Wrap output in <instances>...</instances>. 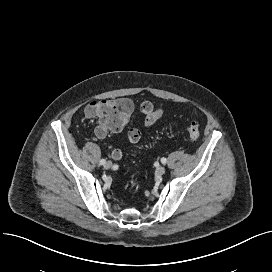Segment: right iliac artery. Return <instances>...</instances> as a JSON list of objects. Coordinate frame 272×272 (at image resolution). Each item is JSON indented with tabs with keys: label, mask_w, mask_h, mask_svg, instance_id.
Returning a JSON list of instances; mask_svg holds the SVG:
<instances>
[{
	"label": "right iliac artery",
	"mask_w": 272,
	"mask_h": 272,
	"mask_svg": "<svg viewBox=\"0 0 272 272\" xmlns=\"http://www.w3.org/2000/svg\"><path fill=\"white\" fill-rule=\"evenodd\" d=\"M105 159H101L100 161H99V163L101 164V165H104L105 164Z\"/></svg>",
	"instance_id": "obj_1"
}]
</instances>
